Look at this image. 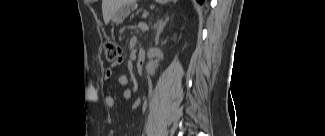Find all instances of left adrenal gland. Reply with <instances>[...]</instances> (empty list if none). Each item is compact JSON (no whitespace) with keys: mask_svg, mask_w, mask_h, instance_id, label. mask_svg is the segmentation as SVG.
<instances>
[{"mask_svg":"<svg viewBox=\"0 0 325 136\" xmlns=\"http://www.w3.org/2000/svg\"><path fill=\"white\" fill-rule=\"evenodd\" d=\"M169 20V17H166L165 20L159 19L157 23L155 24V29H156V37H155V44H158L160 34L162 33L164 27L166 26L167 22Z\"/></svg>","mask_w":325,"mask_h":136,"instance_id":"1","label":"left adrenal gland"}]
</instances>
